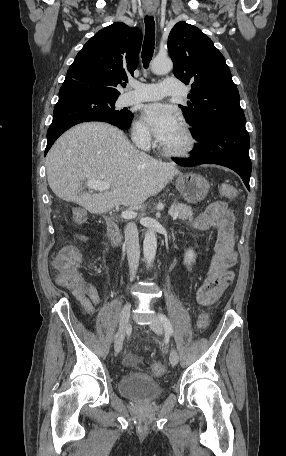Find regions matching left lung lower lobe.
<instances>
[{"instance_id": "1", "label": "left lung lower lobe", "mask_w": 286, "mask_h": 456, "mask_svg": "<svg viewBox=\"0 0 286 456\" xmlns=\"http://www.w3.org/2000/svg\"><path fill=\"white\" fill-rule=\"evenodd\" d=\"M198 145L188 159L174 161L182 166L218 164L234 170L250 190V139L246 128L229 123L209 125L196 135Z\"/></svg>"}]
</instances>
